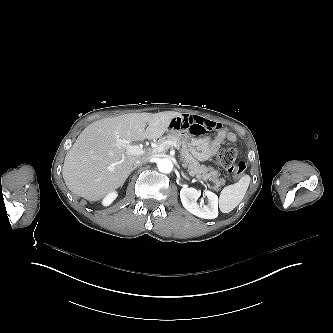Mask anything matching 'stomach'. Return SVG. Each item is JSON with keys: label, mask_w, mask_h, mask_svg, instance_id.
I'll list each match as a JSON object with an SVG mask.
<instances>
[{"label": "stomach", "mask_w": 333, "mask_h": 333, "mask_svg": "<svg viewBox=\"0 0 333 333\" xmlns=\"http://www.w3.org/2000/svg\"><path fill=\"white\" fill-rule=\"evenodd\" d=\"M179 131L176 128L169 129L170 133ZM184 139L190 142L191 154L199 161H206L217 153L210 143V137L185 136Z\"/></svg>", "instance_id": "stomach-1"}]
</instances>
